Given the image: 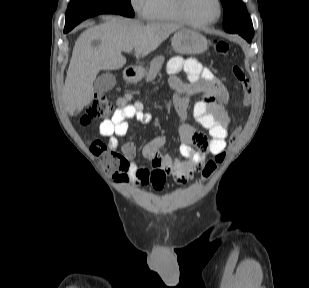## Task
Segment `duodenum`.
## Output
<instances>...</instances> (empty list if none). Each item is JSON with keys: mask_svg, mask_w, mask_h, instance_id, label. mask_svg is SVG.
Instances as JSON below:
<instances>
[{"mask_svg": "<svg viewBox=\"0 0 309 288\" xmlns=\"http://www.w3.org/2000/svg\"><path fill=\"white\" fill-rule=\"evenodd\" d=\"M124 75L128 81H133L136 77V71L133 67H127L124 70Z\"/></svg>", "mask_w": 309, "mask_h": 288, "instance_id": "duodenum-1", "label": "duodenum"}]
</instances>
